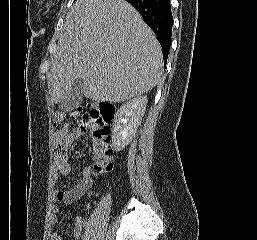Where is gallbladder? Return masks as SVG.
<instances>
[{
	"instance_id": "obj_1",
	"label": "gallbladder",
	"mask_w": 257,
	"mask_h": 240,
	"mask_svg": "<svg viewBox=\"0 0 257 240\" xmlns=\"http://www.w3.org/2000/svg\"><path fill=\"white\" fill-rule=\"evenodd\" d=\"M83 98V82L76 80L69 90L66 99L60 102L59 109L63 111H72L77 108Z\"/></svg>"
}]
</instances>
